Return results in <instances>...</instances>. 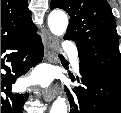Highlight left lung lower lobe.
I'll list each match as a JSON object with an SVG mask.
<instances>
[{
    "instance_id": "1",
    "label": "left lung lower lobe",
    "mask_w": 121,
    "mask_h": 113,
    "mask_svg": "<svg viewBox=\"0 0 121 113\" xmlns=\"http://www.w3.org/2000/svg\"><path fill=\"white\" fill-rule=\"evenodd\" d=\"M79 67L84 87L67 89L70 113H121V85L88 64Z\"/></svg>"
}]
</instances>
